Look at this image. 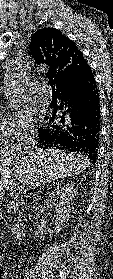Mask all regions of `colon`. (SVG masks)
<instances>
[{
	"label": "colon",
	"instance_id": "5ec220e1",
	"mask_svg": "<svg viewBox=\"0 0 113 279\" xmlns=\"http://www.w3.org/2000/svg\"><path fill=\"white\" fill-rule=\"evenodd\" d=\"M0 257H1V248H0ZM0 277H1V265H0Z\"/></svg>",
	"mask_w": 113,
	"mask_h": 279
}]
</instances>
